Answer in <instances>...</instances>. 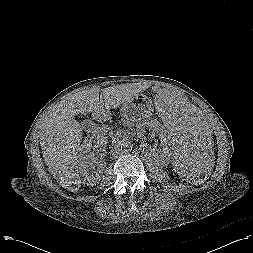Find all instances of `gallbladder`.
<instances>
[{"instance_id":"obj_1","label":"gallbladder","mask_w":253,"mask_h":253,"mask_svg":"<svg viewBox=\"0 0 253 253\" xmlns=\"http://www.w3.org/2000/svg\"><path fill=\"white\" fill-rule=\"evenodd\" d=\"M91 124V121L90 120H84L83 122H82V126H83V128L84 129H88V126Z\"/></svg>"}]
</instances>
